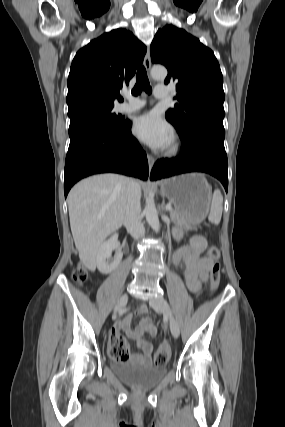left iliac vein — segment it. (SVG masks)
<instances>
[{
	"label": "left iliac vein",
	"mask_w": 285,
	"mask_h": 427,
	"mask_svg": "<svg viewBox=\"0 0 285 427\" xmlns=\"http://www.w3.org/2000/svg\"><path fill=\"white\" fill-rule=\"evenodd\" d=\"M149 303L152 308L156 311L162 312L168 318L171 333L175 338H177L180 333L179 325L175 317L172 315L167 301L162 296H158L151 299Z\"/></svg>",
	"instance_id": "left-iliac-vein-1"
}]
</instances>
